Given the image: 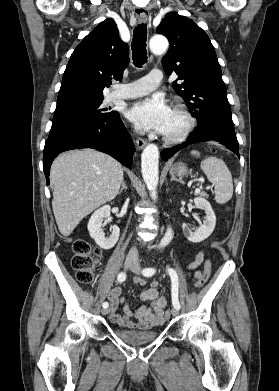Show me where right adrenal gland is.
<instances>
[{
	"label": "right adrenal gland",
	"mask_w": 279,
	"mask_h": 391,
	"mask_svg": "<svg viewBox=\"0 0 279 391\" xmlns=\"http://www.w3.org/2000/svg\"><path fill=\"white\" fill-rule=\"evenodd\" d=\"M124 189L127 190V186H126V182L123 179L122 180V184H121V188H120L118 194L120 195L123 192Z\"/></svg>",
	"instance_id": "1"
}]
</instances>
